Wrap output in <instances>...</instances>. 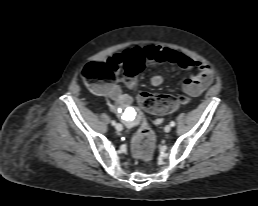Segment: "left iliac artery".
I'll use <instances>...</instances> for the list:
<instances>
[{
  "label": "left iliac artery",
  "mask_w": 258,
  "mask_h": 206,
  "mask_svg": "<svg viewBox=\"0 0 258 206\" xmlns=\"http://www.w3.org/2000/svg\"><path fill=\"white\" fill-rule=\"evenodd\" d=\"M170 126H172V127L175 126V122H174V121H171V122H170Z\"/></svg>",
  "instance_id": "left-iliac-artery-1"
}]
</instances>
